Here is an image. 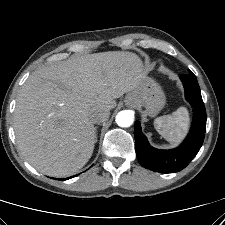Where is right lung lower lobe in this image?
Here are the masks:
<instances>
[{
	"label": "right lung lower lobe",
	"instance_id": "98d812e1",
	"mask_svg": "<svg viewBox=\"0 0 225 225\" xmlns=\"http://www.w3.org/2000/svg\"><path fill=\"white\" fill-rule=\"evenodd\" d=\"M67 179H69V178H66V179H61V180H67Z\"/></svg>",
	"mask_w": 225,
	"mask_h": 225
}]
</instances>
